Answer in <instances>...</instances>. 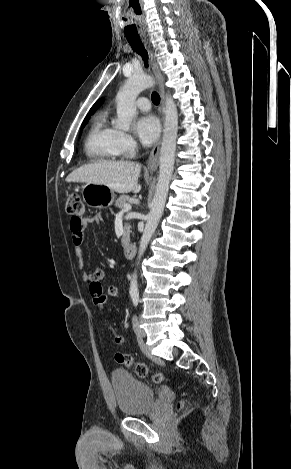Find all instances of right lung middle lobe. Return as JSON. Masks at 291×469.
Masks as SVG:
<instances>
[{"label":"right lung middle lobe","instance_id":"right-lung-middle-lobe-1","mask_svg":"<svg viewBox=\"0 0 291 469\" xmlns=\"http://www.w3.org/2000/svg\"><path fill=\"white\" fill-rule=\"evenodd\" d=\"M90 116V115H89ZM89 116H87L82 124V128L85 126V124L87 123L88 119H89Z\"/></svg>","mask_w":291,"mask_h":469}]
</instances>
